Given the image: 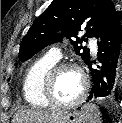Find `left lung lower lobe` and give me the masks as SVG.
Returning <instances> with one entry per match:
<instances>
[{"label":"left lung lower lobe","instance_id":"0a47b994","mask_svg":"<svg viewBox=\"0 0 122 123\" xmlns=\"http://www.w3.org/2000/svg\"><path fill=\"white\" fill-rule=\"evenodd\" d=\"M98 42V69H92L93 61L88 66L92 76V91L89 100L114 98L122 83V26L115 15L105 27ZM96 63V61H94Z\"/></svg>","mask_w":122,"mask_h":123}]
</instances>
